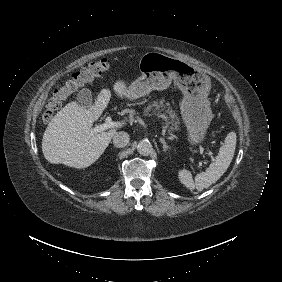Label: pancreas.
I'll list each match as a JSON object with an SVG mask.
<instances>
[{
    "instance_id": "cf45deb5",
    "label": "pancreas",
    "mask_w": 282,
    "mask_h": 282,
    "mask_svg": "<svg viewBox=\"0 0 282 282\" xmlns=\"http://www.w3.org/2000/svg\"><path fill=\"white\" fill-rule=\"evenodd\" d=\"M162 99L161 101H154L152 104L144 108V115L148 116L149 112L154 108L153 114L161 117L165 122V127L169 128L168 132L180 130V120L174 110L170 107V103Z\"/></svg>"
}]
</instances>
